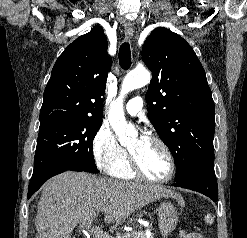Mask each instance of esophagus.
Here are the masks:
<instances>
[{"label":"esophagus","instance_id":"34e87169","mask_svg":"<svg viewBox=\"0 0 247 238\" xmlns=\"http://www.w3.org/2000/svg\"><path fill=\"white\" fill-rule=\"evenodd\" d=\"M134 35V27L133 24L128 22L125 24V37L127 40H131Z\"/></svg>","mask_w":247,"mask_h":238}]
</instances>
